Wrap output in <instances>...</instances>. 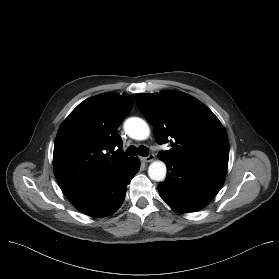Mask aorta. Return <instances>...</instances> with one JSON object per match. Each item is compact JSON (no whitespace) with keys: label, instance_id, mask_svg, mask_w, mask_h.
Returning a JSON list of instances; mask_svg holds the SVG:
<instances>
[{"label":"aorta","instance_id":"762f6f07","mask_svg":"<svg viewBox=\"0 0 279 279\" xmlns=\"http://www.w3.org/2000/svg\"><path fill=\"white\" fill-rule=\"evenodd\" d=\"M126 134L135 140H145L150 135L148 124L141 118L130 117L124 123ZM167 169L163 161H154L148 168V175L151 180L163 181L166 177Z\"/></svg>","mask_w":279,"mask_h":279}]
</instances>
